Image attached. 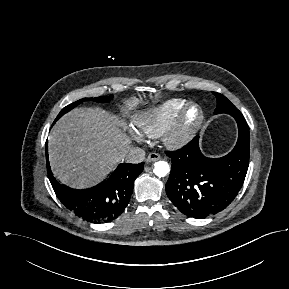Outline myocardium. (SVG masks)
Segmentation results:
<instances>
[{
	"instance_id": "myocardium-1",
	"label": "myocardium",
	"mask_w": 289,
	"mask_h": 289,
	"mask_svg": "<svg viewBox=\"0 0 289 289\" xmlns=\"http://www.w3.org/2000/svg\"><path fill=\"white\" fill-rule=\"evenodd\" d=\"M192 110L195 115L190 116ZM204 119L202 108L194 103H186L174 124L165 133L164 143L170 148H180L188 144L197 134Z\"/></svg>"
}]
</instances>
